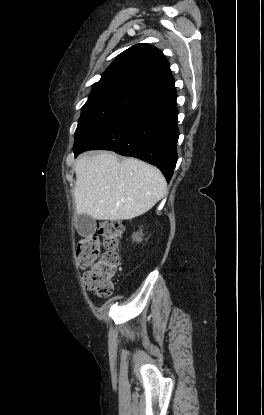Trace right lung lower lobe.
I'll list each match as a JSON object with an SVG mask.
<instances>
[{
	"label": "right lung lower lobe",
	"instance_id": "right-lung-lower-lobe-1",
	"mask_svg": "<svg viewBox=\"0 0 264 415\" xmlns=\"http://www.w3.org/2000/svg\"><path fill=\"white\" fill-rule=\"evenodd\" d=\"M176 97L172 88L143 99L85 146L74 150L75 156L87 150H111L155 165L170 181L178 159Z\"/></svg>",
	"mask_w": 264,
	"mask_h": 415
}]
</instances>
